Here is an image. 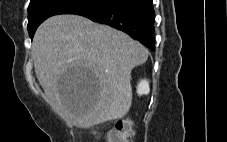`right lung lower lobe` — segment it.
Listing matches in <instances>:
<instances>
[{
    "instance_id": "right-lung-lower-lobe-1",
    "label": "right lung lower lobe",
    "mask_w": 227,
    "mask_h": 142,
    "mask_svg": "<svg viewBox=\"0 0 227 142\" xmlns=\"http://www.w3.org/2000/svg\"><path fill=\"white\" fill-rule=\"evenodd\" d=\"M92 21L119 29L155 50L152 0H108L100 7L79 13Z\"/></svg>"
}]
</instances>
